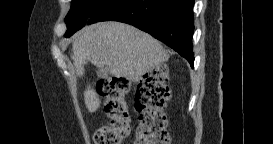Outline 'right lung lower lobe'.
<instances>
[{
  "label": "right lung lower lobe",
  "instance_id": "98d812e1",
  "mask_svg": "<svg viewBox=\"0 0 273 144\" xmlns=\"http://www.w3.org/2000/svg\"><path fill=\"white\" fill-rule=\"evenodd\" d=\"M194 0H110L87 24L120 21L148 32L164 42L193 68Z\"/></svg>",
  "mask_w": 273,
  "mask_h": 144
}]
</instances>
